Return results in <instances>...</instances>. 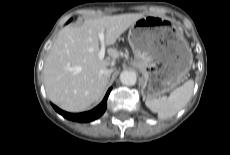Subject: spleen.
I'll return each mask as SVG.
<instances>
[{"label":"spleen","instance_id":"obj_1","mask_svg":"<svg viewBox=\"0 0 230 155\" xmlns=\"http://www.w3.org/2000/svg\"><path fill=\"white\" fill-rule=\"evenodd\" d=\"M194 89V81L188 80L182 86L176 88L170 95L160 98L146 99V106L154 113H158L160 119H166L177 114L189 102Z\"/></svg>","mask_w":230,"mask_h":155}]
</instances>
